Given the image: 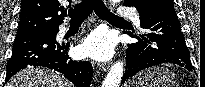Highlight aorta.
I'll use <instances>...</instances> for the list:
<instances>
[{"label": "aorta", "mask_w": 205, "mask_h": 87, "mask_svg": "<svg viewBox=\"0 0 205 87\" xmlns=\"http://www.w3.org/2000/svg\"><path fill=\"white\" fill-rule=\"evenodd\" d=\"M123 71V63L121 61L114 63L109 70L102 87H119L123 76Z\"/></svg>", "instance_id": "762f6f07"}]
</instances>
